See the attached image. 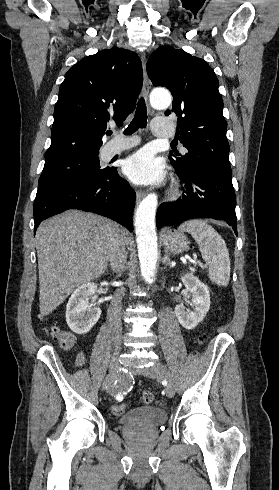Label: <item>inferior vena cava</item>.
Masks as SVG:
<instances>
[{
  "instance_id": "602c4592",
  "label": "inferior vena cava",
  "mask_w": 279,
  "mask_h": 490,
  "mask_svg": "<svg viewBox=\"0 0 279 490\" xmlns=\"http://www.w3.org/2000/svg\"><path fill=\"white\" fill-rule=\"evenodd\" d=\"M111 246L110 254H108L111 268L114 272H123L127 262L126 240H123L120 234H116ZM122 294L123 292L119 290L115 292L107 312V320L115 330H120L122 326Z\"/></svg>"
}]
</instances>
